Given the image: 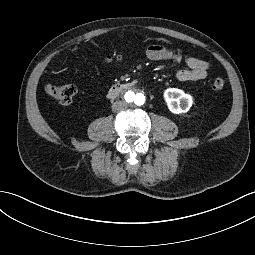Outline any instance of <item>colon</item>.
<instances>
[{"label":"colon","instance_id":"obj_1","mask_svg":"<svg viewBox=\"0 0 255 255\" xmlns=\"http://www.w3.org/2000/svg\"><path fill=\"white\" fill-rule=\"evenodd\" d=\"M224 81L220 78L215 79L212 82V89L215 92H220L224 88ZM47 94L60 102L63 105H69L73 102L74 97L77 93L75 86L66 84V85H47L45 88Z\"/></svg>","mask_w":255,"mask_h":255}]
</instances>
